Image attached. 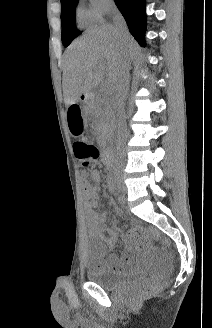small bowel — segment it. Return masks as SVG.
Instances as JSON below:
<instances>
[{"mask_svg": "<svg viewBox=\"0 0 212 328\" xmlns=\"http://www.w3.org/2000/svg\"><path fill=\"white\" fill-rule=\"evenodd\" d=\"M80 178L84 196V216L91 239L92 255L95 259H102L105 256L106 247L112 246L117 241V235L116 231L106 228V214L97 212L98 184L101 182V174L98 170H92L90 174L82 172ZM151 234L152 232L140 226H134L125 237L126 250L120 255H109L103 261L105 266L114 272L129 269L132 266L135 251L146 253L151 249L149 242Z\"/></svg>", "mask_w": 212, "mask_h": 328, "instance_id": "small-bowel-1", "label": "small bowel"}]
</instances>
